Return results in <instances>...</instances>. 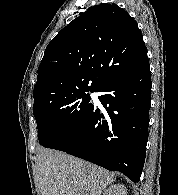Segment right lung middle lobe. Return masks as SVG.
Returning a JSON list of instances; mask_svg holds the SVG:
<instances>
[{
    "label": "right lung middle lobe",
    "instance_id": "right-lung-middle-lobe-1",
    "mask_svg": "<svg viewBox=\"0 0 178 195\" xmlns=\"http://www.w3.org/2000/svg\"><path fill=\"white\" fill-rule=\"evenodd\" d=\"M88 91L85 89L55 97L33 108L38 139L42 146L56 147L92 108L90 95L86 93Z\"/></svg>",
    "mask_w": 178,
    "mask_h": 195
}]
</instances>
